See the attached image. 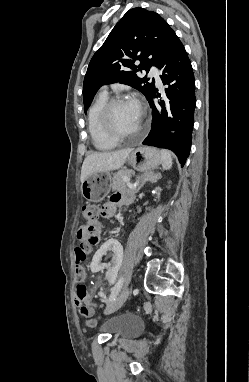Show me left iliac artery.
<instances>
[{"label": "left iliac artery", "instance_id": "1", "mask_svg": "<svg viewBox=\"0 0 249 382\" xmlns=\"http://www.w3.org/2000/svg\"><path fill=\"white\" fill-rule=\"evenodd\" d=\"M123 283H124V278H120L118 280V282L116 283V285L111 289V294H110V297H109V300H108V303H112L116 296L118 295L120 289L122 288L123 286Z\"/></svg>", "mask_w": 249, "mask_h": 382}]
</instances>
